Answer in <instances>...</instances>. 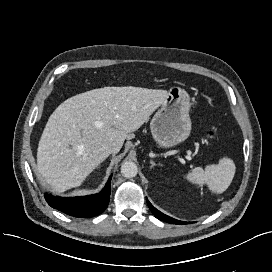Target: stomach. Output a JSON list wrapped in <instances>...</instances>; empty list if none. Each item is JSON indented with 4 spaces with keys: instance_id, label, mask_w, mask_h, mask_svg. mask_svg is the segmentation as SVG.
I'll return each mask as SVG.
<instances>
[{
    "instance_id": "0dacf381",
    "label": "stomach",
    "mask_w": 272,
    "mask_h": 272,
    "mask_svg": "<svg viewBox=\"0 0 272 272\" xmlns=\"http://www.w3.org/2000/svg\"><path fill=\"white\" fill-rule=\"evenodd\" d=\"M190 98L180 87L174 86L150 122L153 139L158 147L170 148L184 140L191 132Z\"/></svg>"
}]
</instances>
